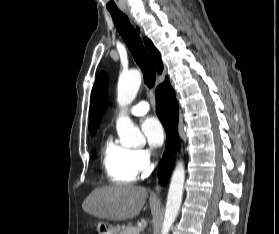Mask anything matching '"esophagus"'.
<instances>
[{
  "mask_svg": "<svg viewBox=\"0 0 279 234\" xmlns=\"http://www.w3.org/2000/svg\"><path fill=\"white\" fill-rule=\"evenodd\" d=\"M155 191H156L157 193L160 191V186H159V184L156 185Z\"/></svg>",
  "mask_w": 279,
  "mask_h": 234,
  "instance_id": "34e87169",
  "label": "esophagus"
}]
</instances>
